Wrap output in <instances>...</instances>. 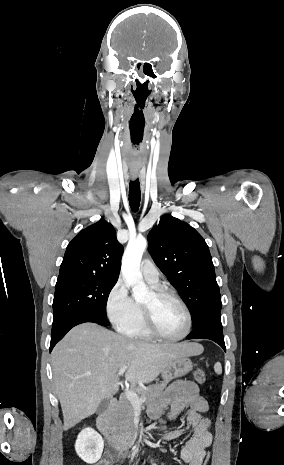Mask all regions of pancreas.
<instances>
[{
    "instance_id": "1",
    "label": "pancreas",
    "mask_w": 284,
    "mask_h": 465,
    "mask_svg": "<svg viewBox=\"0 0 284 465\" xmlns=\"http://www.w3.org/2000/svg\"><path fill=\"white\" fill-rule=\"evenodd\" d=\"M170 379L171 377H166L165 381H162L160 385H150V387H146V389H137V393H139L141 397H147L144 405H149L151 401H156V399L162 395L164 389H166ZM113 421L116 431H118L122 437H131V435H135L134 409L126 397H121L118 411L114 413Z\"/></svg>"
}]
</instances>
